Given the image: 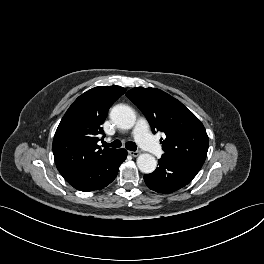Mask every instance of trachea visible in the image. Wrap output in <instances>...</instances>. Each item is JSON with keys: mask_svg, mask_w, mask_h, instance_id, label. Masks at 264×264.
Instances as JSON below:
<instances>
[{"mask_svg": "<svg viewBox=\"0 0 264 264\" xmlns=\"http://www.w3.org/2000/svg\"><path fill=\"white\" fill-rule=\"evenodd\" d=\"M103 144H104V146L112 147V148H119V147H121V145H122V143H121L120 140H115V141H113V142H111V143H106V142H104ZM125 146H126V148H127L128 150H131V151H136V150H137V146H136V144L133 143V142H127V143L125 144Z\"/></svg>", "mask_w": 264, "mask_h": 264, "instance_id": "3493384b", "label": "trachea"}]
</instances>
